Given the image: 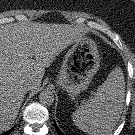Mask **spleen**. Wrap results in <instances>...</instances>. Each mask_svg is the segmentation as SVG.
<instances>
[{"label":"spleen","instance_id":"spleen-1","mask_svg":"<svg viewBox=\"0 0 135 135\" xmlns=\"http://www.w3.org/2000/svg\"><path fill=\"white\" fill-rule=\"evenodd\" d=\"M124 76L115 68L107 80L72 114L74 124L89 135H110L122 110Z\"/></svg>","mask_w":135,"mask_h":135}]
</instances>
